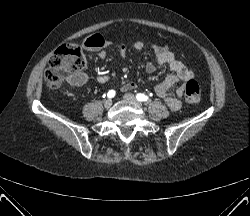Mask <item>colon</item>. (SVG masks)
<instances>
[{
  "instance_id": "1",
  "label": "colon",
  "mask_w": 250,
  "mask_h": 216,
  "mask_svg": "<svg viewBox=\"0 0 250 216\" xmlns=\"http://www.w3.org/2000/svg\"><path fill=\"white\" fill-rule=\"evenodd\" d=\"M85 64V58L78 46H62L50 60L49 66L45 71L46 81L51 88L57 89L63 81L83 70ZM185 99L191 104L198 103L201 99L200 86L193 79L186 84Z\"/></svg>"
}]
</instances>
